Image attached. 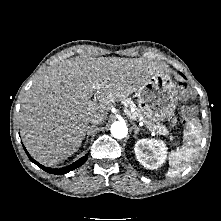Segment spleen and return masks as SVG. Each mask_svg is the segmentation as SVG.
Instances as JSON below:
<instances>
[{
    "instance_id": "obj_1",
    "label": "spleen",
    "mask_w": 221,
    "mask_h": 221,
    "mask_svg": "<svg viewBox=\"0 0 221 221\" xmlns=\"http://www.w3.org/2000/svg\"><path fill=\"white\" fill-rule=\"evenodd\" d=\"M201 141L199 120H194L189 125V131L185 137V143L176 151L169 153L170 168L167 177H174L189 167V164L197 156Z\"/></svg>"
}]
</instances>
